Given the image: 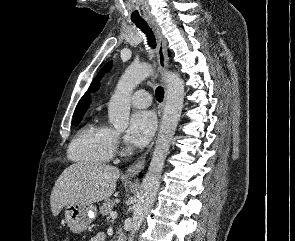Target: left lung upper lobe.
Returning a JSON list of instances; mask_svg holds the SVG:
<instances>
[{"label": "left lung upper lobe", "instance_id": "5c2ea615", "mask_svg": "<svg viewBox=\"0 0 295 241\" xmlns=\"http://www.w3.org/2000/svg\"><path fill=\"white\" fill-rule=\"evenodd\" d=\"M110 65H111V63L109 62V63H107V65L105 66V68L104 69H102L101 70V72L97 75V77L94 79V81H93V83H92V85H91V87H90V90L91 91H95V90H97L98 88H99V83H98V79L100 78V76L103 74V72L105 71V70H108V68L110 67Z\"/></svg>", "mask_w": 295, "mask_h": 241}]
</instances>
